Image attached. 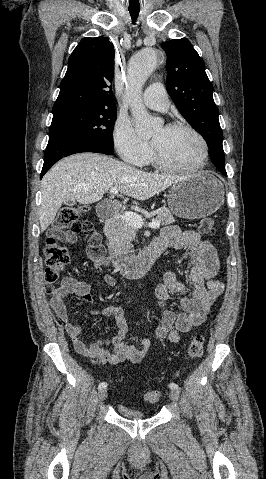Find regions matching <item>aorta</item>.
<instances>
[{"instance_id":"762f6f07","label":"aorta","mask_w":266,"mask_h":479,"mask_svg":"<svg viewBox=\"0 0 266 479\" xmlns=\"http://www.w3.org/2000/svg\"><path fill=\"white\" fill-rule=\"evenodd\" d=\"M158 62L155 49L147 48L136 53L128 63V82L124 101L130 106L138 135L148 136L160 125L148 115L141 101L142 87Z\"/></svg>"}]
</instances>
